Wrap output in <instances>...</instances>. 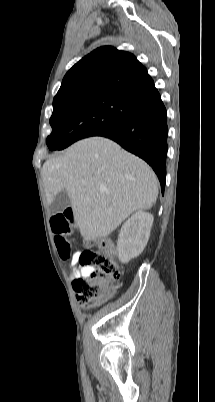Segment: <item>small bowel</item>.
<instances>
[{
  "label": "small bowel",
  "instance_id": "obj_1",
  "mask_svg": "<svg viewBox=\"0 0 215 402\" xmlns=\"http://www.w3.org/2000/svg\"><path fill=\"white\" fill-rule=\"evenodd\" d=\"M77 256H78V253H76L74 255L72 263H71V265L69 267V273H70V276H71L73 282L78 278L88 277L91 274L92 270H93L92 267H78V266H76L75 262H76Z\"/></svg>",
  "mask_w": 215,
  "mask_h": 402
}]
</instances>
